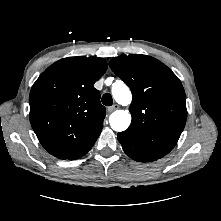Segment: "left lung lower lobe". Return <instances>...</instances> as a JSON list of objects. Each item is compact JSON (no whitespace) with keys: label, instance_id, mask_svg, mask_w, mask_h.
I'll list each match as a JSON object with an SVG mask.
<instances>
[{"label":"left lung lower lobe","instance_id":"left-lung-lower-lobe-1","mask_svg":"<svg viewBox=\"0 0 221 221\" xmlns=\"http://www.w3.org/2000/svg\"><path fill=\"white\" fill-rule=\"evenodd\" d=\"M117 137H118L119 142L123 146L124 152L133 160H136L139 162H151V161L157 160L156 158L146 155L144 153H141L140 151L132 147L120 133H118Z\"/></svg>","mask_w":221,"mask_h":221}]
</instances>
